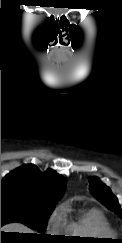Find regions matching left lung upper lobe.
Segmentation results:
<instances>
[{"mask_svg":"<svg viewBox=\"0 0 122 243\" xmlns=\"http://www.w3.org/2000/svg\"><path fill=\"white\" fill-rule=\"evenodd\" d=\"M91 193L107 208L114 211L118 216L122 217V211L118 204L116 196H114L111 190L99 181L97 177H91L89 179Z\"/></svg>","mask_w":122,"mask_h":243,"instance_id":"1","label":"left lung upper lobe"}]
</instances>
